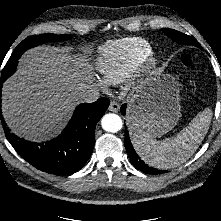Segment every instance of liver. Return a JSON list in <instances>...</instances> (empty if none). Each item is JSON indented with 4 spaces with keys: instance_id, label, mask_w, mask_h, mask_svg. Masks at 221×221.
I'll use <instances>...</instances> for the list:
<instances>
[{
    "instance_id": "obj_1",
    "label": "liver",
    "mask_w": 221,
    "mask_h": 221,
    "mask_svg": "<svg viewBox=\"0 0 221 221\" xmlns=\"http://www.w3.org/2000/svg\"><path fill=\"white\" fill-rule=\"evenodd\" d=\"M85 66L55 48L27 51L3 86L2 113L9 128L31 140L56 134L79 103L77 93L91 83Z\"/></svg>"
}]
</instances>
